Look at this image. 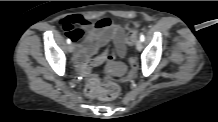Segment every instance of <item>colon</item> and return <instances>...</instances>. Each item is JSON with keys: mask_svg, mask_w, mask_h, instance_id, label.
<instances>
[{"mask_svg": "<svg viewBox=\"0 0 218 122\" xmlns=\"http://www.w3.org/2000/svg\"><path fill=\"white\" fill-rule=\"evenodd\" d=\"M66 31H71L72 27L65 25ZM138 33V25L132 24L129 26V31L126 37L128 44H133L136 41ZM76 36L78 32L73 33ZM116 60L115 55L110 49H103L102 53H98L96 57H92L86 63L77 68V75L84 79L89 76L86 84L85 92L89 97L100 98L103 100H112L120 94V87L113 82H102L97 75L91 74L96 71L98 66H111ZM131 70L128 71L127 77L118 76L117 82L123 84H132L137 69V62L134 58L129 59Z\"/></svg>", "mask_w": 218, "mask_h": 122, "instance_id": "5ec220e1", "label": "colon"}]
</instances>
